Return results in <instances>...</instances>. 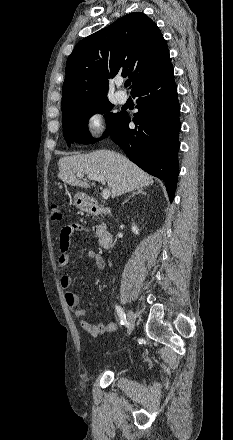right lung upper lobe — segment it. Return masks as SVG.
<instances>
[{
	"label": "right lung upper lobe",
	"mask_w": 233,
	"mask_h": 440,
	"mask_svg": "<svg viewBox=\"0 0 233 440\" xmlns=\"http://www.w3.org/2000/svg\"><path fill=\"white\" fill-rule=\"evenodd\" d=\"M171 66L156 23L142 12L127 14L75 46L66 63L62 108L106 97L116 75L131 79L132 93Z\"/></svg>",
	"instance_id": "cb5924a9"
}]
</instances>
